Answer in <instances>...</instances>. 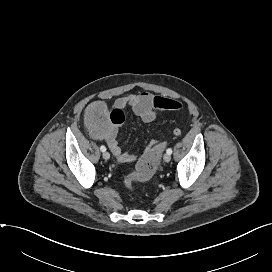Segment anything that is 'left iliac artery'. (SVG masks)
I'll return each mask as SVG.
<instances>
[{
  "instance_id": "obj_1",
  "label": "left iliac artery",
  "mask_w": 272,
  "mask_h": 272,
  "mask_svg": "<svg viewBox=\"0 0 272 272\" xmlns=\"http://www.w3.org/2000/svg\"><path fill=\"white\" fill-rule=\"evenodd\" d=\"M166 153L172 154V149H171V148H168L167 151H166Z\"/></svg>"
}]
</instances>
